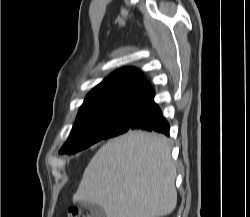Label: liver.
<instances>
[{
  "instance_id": "obj_1",
  "label": "liver",
  "mask_w": 250,
  "mask_h": 217,
  "mask_svg": "<svg viewBox=\"0 0 250 217\" xmlns=\"http://www.w3.org/2000/svg\"><path fill=\"white\" fill-rule=\"evenodd\" d=\"M175 179L169 140L129 131L96 152L73 202L97 204L106 217H162L176 207Z\"/></svg>"
}]
</instances>
